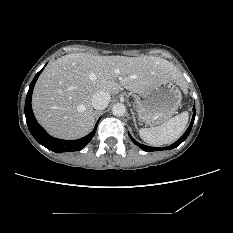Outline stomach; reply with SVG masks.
I'll use <instances>...</instances> for the list:
<instances>
[{
	"instance_id": "1",
	"label": "stomach",
	"mask_w": 233,
	"mask_h": 233,
	"mask_svg": "<svg viewBox=\"0 0 233 233\" xmlns=\"http://www.w3.org/2000/svg\"><path fill=\"white\" fill-rule=\"evenodd\" d=\"M181 100V91L174 81L160 84L135 97L137 116L147 125H159L176 113Z\"/></svg>"
}]
</instances>
